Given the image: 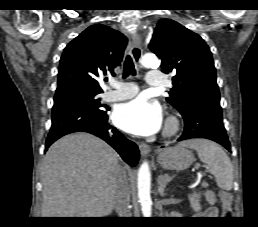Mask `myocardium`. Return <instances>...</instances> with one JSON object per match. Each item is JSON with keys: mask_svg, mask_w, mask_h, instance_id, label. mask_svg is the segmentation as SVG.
<instances>
[{"mask_svg": "<svg viewBox=\"0 0 258 227\" xmlns=\"http://www.w3.org/2000/svg\"><path fill=\"white\" fill-rule=\"evenodd\" d=\"M180 128L179 120L175 117H170L167 119L164 127V136L171 137L174 136Z\"/></svg>", "mask_w": 258, "mask_h": 227, "instance_id": "myocardium-1", "label": "myocardium"}]
</instances>
